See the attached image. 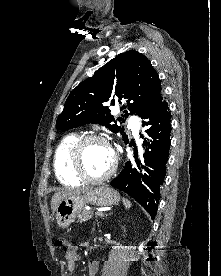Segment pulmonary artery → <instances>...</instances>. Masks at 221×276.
Here are the masks:
<instances>
[{
  "mask_svg": "<svg viewBox=\"0 0 221 276\" xmlns=\"http://www.w3.org/2000/svg\"><path fill=\"white\" fill-rule=\"evenodd\" d=\"M132 129H133L134 134L137 135L138 129H139L138 124L133 123V124H132Z\"/></svg>",
  "mask_w": 221,
  "mask_h": 276,
  "instance_id": "pulmonary-artery-1",
  "label": "pulmonary artery"
}]
</instances>
